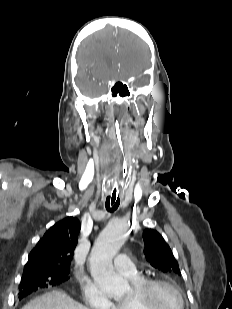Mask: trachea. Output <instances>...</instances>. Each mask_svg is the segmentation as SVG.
Instances as JSON below:
<instances>
[{
	"mask_svg": "<svg viewBox=\"0 0 232 309\" xmlns=\"http://www.w3.org/2000/svg\"><path fill=\"white\" fill-rule=\"evenodd\" d=\"M120 174L117 172L113 181L110 194L106 198L105 207L108 212L117 210L120 204Z\"/></svg>",
	"mask_w": 232,
	"mask_h": 309,
	"instance_id": "obj_1",
	"label": "trachea"
}]
</instances>
